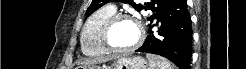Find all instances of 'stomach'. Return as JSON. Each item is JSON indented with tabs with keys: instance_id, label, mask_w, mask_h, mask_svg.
I'll use <instances>...</instances> for the list:
<instances>
[{
	"instance_id": "stomach-1",
	"label": "stomach",
	"mask_w": 246,
	"mask_h": 69,
	"mask_svg": "<svg viewBox=\"0 0 246 69\" xmlns=\"http://www.w3.org/2000/svg\"><path fill=\"white\" fill-rule=\"evenodd\" d=\"M75 69H150L147 61L142 57H121L115 60L109 67H101L96 64L80 65Z\"/></svg>"
}]
</instances>
